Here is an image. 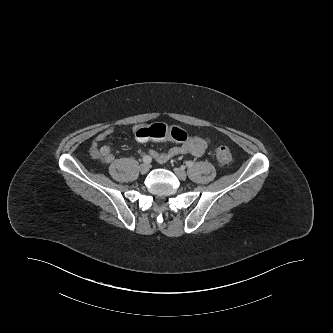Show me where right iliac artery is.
<instances>
[{
    "label": "right iliac artery",
    "mask_w": 333,
    "mask_h": 333,
    "mask_svg": "<svg viewBox=\"0 0 333 333\" xmlns=\"http://www.w3.org/2000/svg\"><path fill=\"white\" fill-rule=\"evenodd\" d=\"M151 161H152V158L150 157V156H148V155H145L144 157H143V162L144 163H151Z\"/></svg>",
    "instance_id": "82829eb1"
}]
</instances>
